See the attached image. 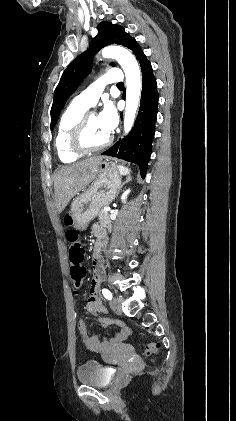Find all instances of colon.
<instances>
[{
  "label": "colon",
  "instance_id": "obj_1",
  "mask_svg": "<svg viewBox=\"0 0 236 421\" xmlns=\"http://www.w3.org/2000/svg\"><path fill=\"white\" fill-rule=\"evenodd\" d=\"M66 222L69 225L71 224L72 221L70 217L66 218ZM69 242L68 257L70 262V278L74 287L79 288L86 275V269L82 265L85 251L78 240V234L76 231H70ZM156 350L157 345L154 342L147 343L143 348V352L146 356L154 355Z\"/></svg>",
  "mask_w": 236,
  "mask_h": 421
}]
</instances>
